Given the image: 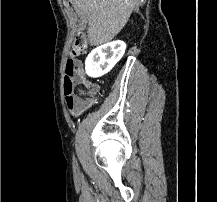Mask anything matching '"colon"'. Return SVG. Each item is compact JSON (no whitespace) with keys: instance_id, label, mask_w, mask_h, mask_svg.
<instances>
[{"instance_id":"obj_1","label":"colon","mask_w":217,"mask_h":202,"mask_svg":"<svg viewBox=\"0 0 217 202\" xmlns=\"http://www.w3.org/2000/svg\"><path fill=\"white\" fill-rule=\"evenodd\" d=\"M73 41H77V46H87L89 36H73ZM70 54H80V49H70ZM68 69L64 80H70L66 82L65 96L68 98L66 102L71 105L70 111H82L83 108L89 107L95 102L94 98H97L98 86L91 84L88 80H83L86 74L83 73V68H88V63H83V59H78L77 55H69L66 60ZM74 119H79V114H74Z\"/></svg>"}]
</instances>
